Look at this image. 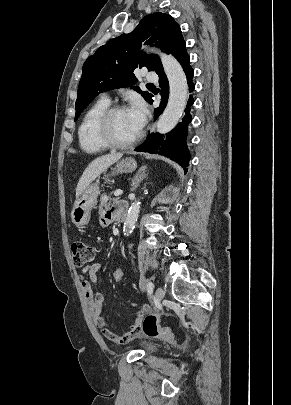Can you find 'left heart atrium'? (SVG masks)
I'll return each mask as SVG.
<instances>
[{
  "label": "left heart atrium",
  "mask_w": 291,
  "mask_h": 405,
  "mask_svg": "<svg viewBox=\"0 0 291 405\" xmlns=\"http://www.w3.org/2000/svg\"><path fill=\"white\" fill-rule=\"evenodd\" d=\"M137 129L140 131L145 124L147 108L144 102L136 100L128 109Z\"/></svg>",
  "instance_id": "obj_1"
}]
</instances>
